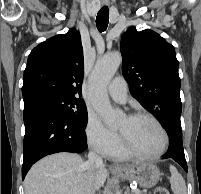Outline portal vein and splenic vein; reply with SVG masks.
<instances>
[{
  "mask_svg": "<svg viewBox=\"0 0 201 194\" xmlns=\"http://www.w3.org/2000/svg\"><path fill=\"white\" fill-rule=\"evenodd\" d=\"M133 192H135L136 194L140 193V191L138 189H134Z\"/></svg>",
  "mask_w": 201,
  "mask_h": 194,
  "instance_id": "18ae733b",
  "label": "portal vein and splenic vein"
}]
</instances>
